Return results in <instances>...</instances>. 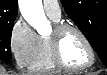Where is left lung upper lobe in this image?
<instances>
[{"label": "left lung upper lobe", "instance_id": "obj_1", "mask_svg": "<svg viewBox=\"0 0 107 75\" xmlns=\"http://www.w3.org/2000/svg\"><path fill=\"white\" fill-rule=\"evenodd\" d=\"M61 3L107 66V0H61Z\"/></svg>", "mask_w": 107, "mask_h": 75}]
</instances>
